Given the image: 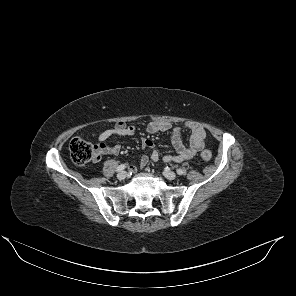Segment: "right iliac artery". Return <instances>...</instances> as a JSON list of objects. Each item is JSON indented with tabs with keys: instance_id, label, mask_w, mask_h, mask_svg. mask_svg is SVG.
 Returning a JSON list of instances; mask_svg holds the SVG:
<instances>
[{
	"instance_id": "obj_1",
	"label": "right iliac artery",
	"mask_w": 296,
	"mask_h": 296,
	"mask_svg": "<svg viewBox=\"0 0 296 296\" xmlns=\"http://www.w3.org/2000/svg\"><path fill=\"white\" fill-rule=\"evenodd\" d=\"M125 167H126V166H125L124 164L119 165V166L117 167V169H116V172H120V171L124 170Z\"/></svg>"
}]
</instances>
